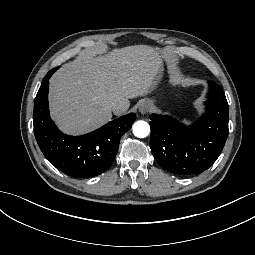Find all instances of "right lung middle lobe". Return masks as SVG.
Masks as SVG:
<instances>
[{
    "label": "right lung middle lobe",
    "mask_w": 255,
    "mask_h": 255,
    "mask_svg": "<svg viewBox=\"0 0 255 255\" xmlns=\"http://www.w3.org/2000/svg\"><path fill=\"white\" fill-rule=\"evenodd\" d=\"M57 69H58V68H55V69L51 70L49 74L52 75V73H53L54 71H56Z\"/></svg>",
    "instance_id": "obj_1"
}]
</instances>
